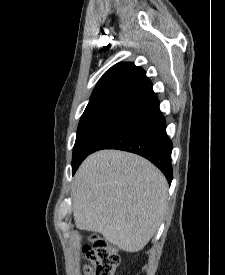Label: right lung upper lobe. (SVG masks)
<instances>
[{"mask_svg": "<svg viewBox=\"0 0 225 275\" xmlns=\"http://www.w3.org/2000/svg\"><path fill=\"white\" fill-rule=\"evenodd\" d=\"M158 102L145 71L133 63H118L99 80L81 117L130 115Z\"/></svg>", "mask_w": 225, "mask_h": 275, "instance_id": "1", "label": "right lung upper lobe"}]
</instances>
